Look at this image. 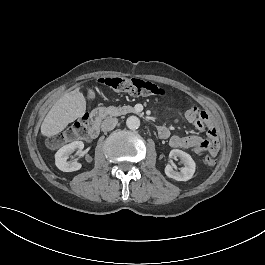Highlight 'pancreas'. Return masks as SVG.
<instances>
[{"mask_svg": "<svg viewBox=\"0 0 265 265\" xmlns=\"http://www.w3.org/2000/svg\"><path fill=\"white\" fill-rule=\"evenodd\" d=\"M135 109L131 106H122V107H114L109 106L105 110V115L111 116H120L125 115L127 113H134Z\"/></svg>", "mask_w": 265, "mask_h": 265, "instance_id": "obj_1", "label": "pancreas"}]
</instances>
